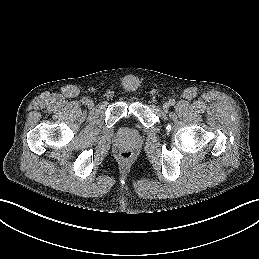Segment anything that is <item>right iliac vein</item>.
<instances>
[{
	"label": "right iliac vein",
	"instance_id": "1",
	"mask_svg": "<svg viewBox=\"0 0 259 259\" xmlns=\"http://www.w3.org/2000/svg\"><path fill=\"white\" fill-rule=\"evenodd\" d=\"M87 105L88 107H92L94 105V102L92 100H88Z\"/></svg>",
	"mask_w": 259,
	"mask_h": 259
}]
</instances>
